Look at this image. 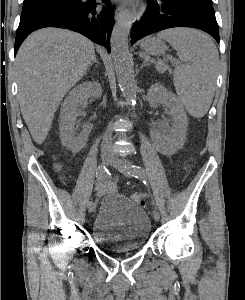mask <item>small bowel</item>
I'll return each instance as SVG.
<instances>
[{"label": "small bowel", "mask_w": 245, "mask_h": 300, "mask_svg": "<svg viewBox=\"0 0 245 300\" xmlns=\"http://www.w3.org/2000/svg\"><path fill=\"white\" fill-rule=\"evenodd\" d=\"M116 189V181L114 179L96 183L95 191L98 194L112 193Z\"/></svg>", "instance_id": "obj_1"}]
</instances>
